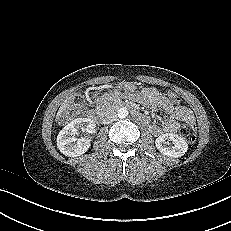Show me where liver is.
<instances>
[{
	"label": "liver",
	"mask_w": 231,
	"mask_h": 231,
	"mask_svg": "<svg viewBox=\"0 0 231 231\" xmlns=\"http://www.w3.org/2000/svg\"><path fill=\"white\" fill-rule=\"evenodd\" d=\"M70 100H71V97H68L63 103L62 105L60 106L58 112H57V115H56V119L58 120L62 113H64V111L68 108L69 106V103H70Z\"/></svg>",
	"instance_id": "6515ba94"
}]
</instances>
